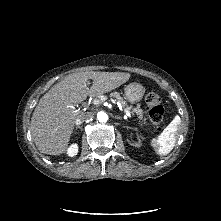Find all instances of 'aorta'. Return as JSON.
I'll list each match as a JSON object with an SVG mask.
<instances>
[{
    "label": "aorta",
    "instance_id": "obj_1",
    "mask_svg": "<svg viewBox=\"0 0 221 221\" xmlns=\"http://www.w3.org/2000/svg\"><path fill=\"white\" fill-rule=\"evenodd\" d=\"M97 119L99 122L105 123L108 120V115L104 111H100L97 113Z\"/></svg>",
    "mask_w": 221,
    "mask_h": 221
}]
</instances>
